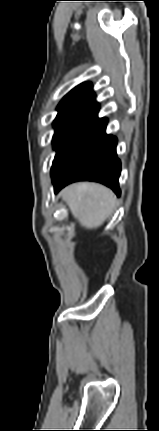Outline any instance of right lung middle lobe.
<instances>
[{"instance_id":"obj_1","label":"right lung middle lobe","mask_w":159,"mask_h":431,"mask_svg":"<svg viewBox=\"0 0 159 431\" xmlns=\"http://www.w3.org/2000/svg\"><path fill=\"white\" fill-rule=\"evenodd\" d=\"M86 124L82 120L56 118L53 123L55 128L52 140L54 149L57 151L71 135Z\"/></svg>"}]
</instances>
